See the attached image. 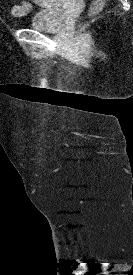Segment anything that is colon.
I'll use <instances>...</instances> for the list:
<instances>
[{"instance_id": "1", "label": "colon", "mask_w": 133, "mask_h": 275, "mask_svg": "<svg viewBox=\"0 0 133 275\" xmlns=\"http://www.w3.org/2000/svg\"><path fill=\"white\" fill-rule=\"evenodd\" d=\"M104 6V0H95L93 5H92V13H99ZM31 6L29 3H23L20 5H15L12 8V15L14 16H22L26 14L30 10Z\"/></svg>"}]
</instances>
